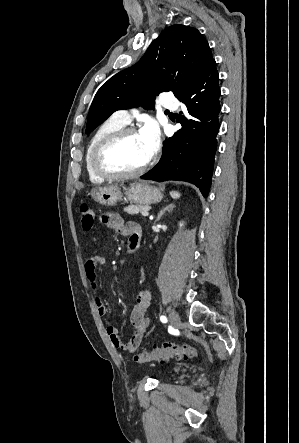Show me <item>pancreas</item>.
<instances>
[{
  "label": "pancreas",
  "instance_id": "1",
  "mask_svg": "<svg viewBox=\"0 0 299 443\" xmlns=\"http://www.w3.org/2000/svg\"><path fill=\"white\" fill-rule=\"evenodd\" d=\"M148 205H129L124 208V211L128 214H139L143 211H148Z\"/></svg>",
  "mask_w": 299,
  "mask_h": 443
}]
</instances>
